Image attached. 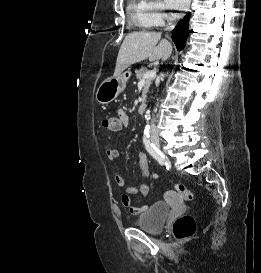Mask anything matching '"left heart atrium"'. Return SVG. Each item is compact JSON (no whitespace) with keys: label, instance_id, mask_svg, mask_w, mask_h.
<instances>
[{"label":"left heart atrium","instance_id":"obj_1","mask_svg":"<svg viewBox=\"0 0 261 273\" xmlns=\"http://www.w3.org/2000/svg\"><path fill=\"white\" fill-rule=\"evenodd\" d=\"M166 3L176 13H179L188 7L189 0H166Z\"/></svg>","mask_w":261,"mask_h":273}]
</instances>
